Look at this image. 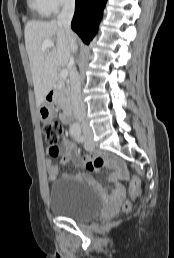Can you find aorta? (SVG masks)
<instances>
[{
    "label": "aorta",
    "instance_id": "obj_1",
    "mask_svg": "<svg viewBox=\"0 0 174 258\" xmlns=\"http://www.w3.org/2000/svg\"><path fill=\"white\" fill-rule=\"evenodd\" d=\"M72 126L75 127V128H79V124L78 123H74Z\"/></svg>",
    "mask_w": 174,
    "mask_h": 258
}]
</instances>
